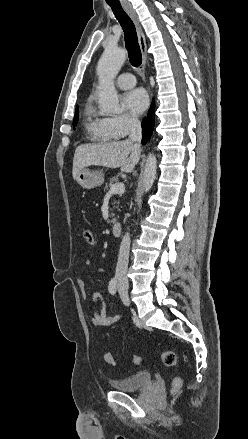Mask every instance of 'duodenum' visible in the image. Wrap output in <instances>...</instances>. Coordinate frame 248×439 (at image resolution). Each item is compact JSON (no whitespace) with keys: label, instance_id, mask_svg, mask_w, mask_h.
Masks as SVG:
<instances>
[{"label":"duodenum","instance_id":"1","mask_svg":"<svg viewBox=\"0 0 248 439\" xmlns=\"http://www.w3.org/2000/svg\"><path fill=\"white\" fill-rule=\"evenodd\" d=\"M123 224L121 222H115L111 226V231L114 235L118 236L122 233Z\"/></svg>","mask_w":248,"mask_h":439}]
</instances>
